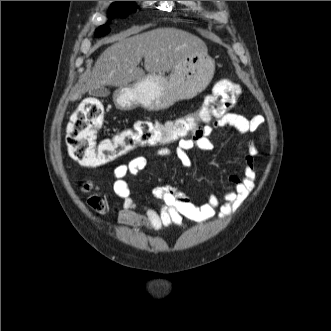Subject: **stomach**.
I'll use <instances>...</instances> for the list:
<instances>
[{"label":"stomach","instance_id":"0dacf381","mask_svg":"<svg viewBox=\"0 0 331 331\" xmlns=\"http://www.w3.org/2000/svg\"><path fill=\"white\" fill-rule=\"evenodd\" d=\"M214 60L207 51L196 52L174 68L169 76L148 74L115 93V105L121 110L138 106L149 111L171 107L179 100L201 93L213 78Z\"/></svg>","mask_w":331,"mask_h":331}]
</instances>
